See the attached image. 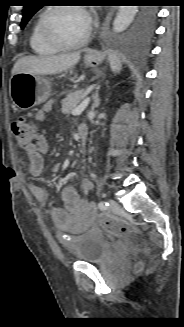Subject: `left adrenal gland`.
Returning a JSON list of instances; mask_svg holds the SVG:
<instances>
[{"mask_svg": "<svg viewBox=\"0 0 184 327\" xmlns=\"http://www.w3.org/2000/svg\"><path fill=\"white\" fill-rule=\"evenodd\" d=\"M99 104H100V100H99L98 90H97L96 93H95V96H94V104H93V107H98Z\"/></svg>", "mask_w": 184, "mask_h": 327, "instance_id": "obj_1", "label": "left adrenal gland"}]
</instances>
